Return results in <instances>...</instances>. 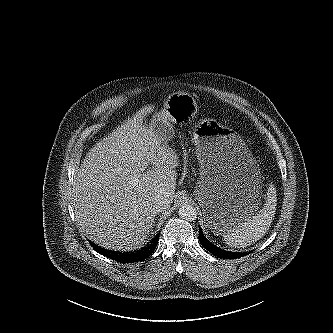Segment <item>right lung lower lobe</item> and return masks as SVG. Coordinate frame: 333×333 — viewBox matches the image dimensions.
I'll return each mask as SVG.
<instances>
[{
	"label": "right lung lower lobe",
	"instance_id": "1",
	"mask_svg": "<svg viewBox=\"0 0 333 333\" xmlns=\"http://www.w3.org/2000/svg\"><path fill=\"white\" fill-rule=\"evenodd\" d=\"M158 240H159V235L157 234V236L150 242V244L146 245L145 247H143L137 251L129 252V253H126V252L120 253L117 251L107 250L94 243H91V246L99 254H102L117 262L134 263V262L142 261V260L148 258L155 250Z\"/></svg>",
	"mask_w": 333,
	"mask_h": 333
}]
</instances>
